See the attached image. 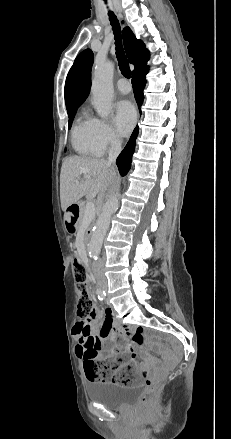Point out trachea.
<instances>
[{
  "label": "trachea",
  "mask_w": 231,
  "mask_h": 439,
  "mask_svg": "<svg viewBox=\"0 0 231 439\" xmlns=\"http://www.w3.org/2000/svg\"><path fill=\"white\" fill-rule=\"evenodd\" d=\"M108 15L115 36L116 56L118 60V65L120 67V71L124 77L131 78V70L129 67L128 60L126 59V56L124 54V50L121 43V29H120L119 21L116 15L112 11H109Z\"/></svg>",
  "instance_id": "trachea-1"
}]
</instances>
